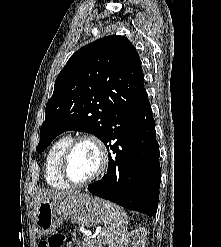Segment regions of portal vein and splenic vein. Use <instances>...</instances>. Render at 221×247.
I'll return each mask as SVG.
<instances>
[{
    "mask_svg": "<svg viewBox=\"0 0 221 247\" xmlns=\"http://www.w3.org/2000/svg\"><path fill=\"white\" fill-rule=\"evenodd\" d=\"M85 234H86L88 237H90V236L92 235L91 231H87Z\"/></svg>",
    "mask_w": 221,
    "mask_h": 247,
    "instance_id": "1",
    "label": "portal vein and splenic vein"
}]
</instances>
